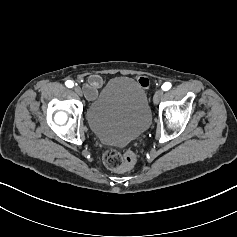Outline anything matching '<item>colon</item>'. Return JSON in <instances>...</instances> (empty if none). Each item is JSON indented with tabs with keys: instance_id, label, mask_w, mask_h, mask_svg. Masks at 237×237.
Returning a JSON list of instances; mask_svg holds the SVG:
<instances>
[{
	"instance_id": "1",
	"label": "colon",
	"mask_w": 237,
	"mask_h": 237,
	"mask_svg": "<svg viewBox=\"0 0 237 237\" xmlns=\"http://www.w3.org/2000/svg\"><path fill=\"white\" fill-rule=\"evenodd\" d=\"M137 161V155L133 150L120 152L116 149H109L103 154L105 166L116 172H124L132 169Z\"/></svg>"
}]
</instances>
